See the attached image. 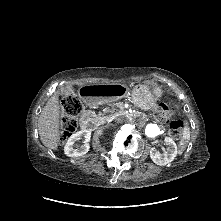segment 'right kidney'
<instances>
[{
  "instance_id": "right-kidney-1",
  "label": "right kidney",
  "mask_w": 221,
  "mask_h": 221,
  "mask_svg": "<svg viewBox=\"0 0 221 221\" xmlns=\"http://www.w3.org/2000/svg\"><path fill=\"white\" fill-rule=\"evenodd\" d=\"M91 132L88 130H81L71 135L64 146V153L69 157H78L86 154L89 151V141ZM80 140H84L82 145L75 144Z\"/></svg>"
}]
</instances>
